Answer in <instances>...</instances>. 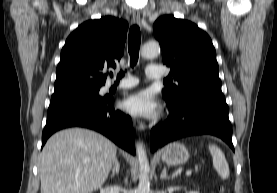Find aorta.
<instances>
[{"instance_id":"obj_1","label":"aorta","mask_w":277,"mask_h":193,"mask_svg":"<svg viewBox=\"0 0 277 193\" xmlns=\"http://www.w3.org/2000/svg\"><path fill=\"white\" fill-rule=\"evenodd\" d=\"M160 53V46L158 43L150 42L146 43L141 49V55L144 58H154ZM136 154L138 156V162L140 167L139 184L137 193H149L150 181H149V162L147 154L142 143L136 144Z\"/></svg>"}]
</instances>
